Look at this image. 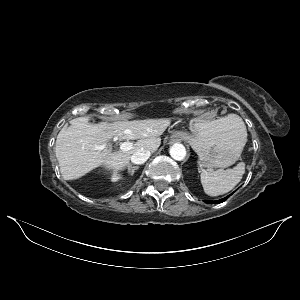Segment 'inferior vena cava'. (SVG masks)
<instances>
[{"label":"inferior vena cava","instance_id":"1","mask_svg":"<svg viewBox=\"0 0 300 300\" xmlns=\"http://www.w3.org/2000/svg\"><path fill=\"white\" fill-rule=\"evenodd\" d=\"M150 154L149 150L140 149L131 156V162L134 164H143L148 160Z\"/></svg>","mask_w":300,"mask_h":300}]
</instances>
